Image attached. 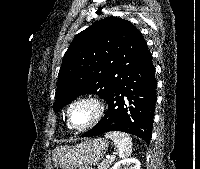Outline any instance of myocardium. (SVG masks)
I'll return each mask as SVG.
<instances>
[{
  "label": "myocardium",
  "instance_id": "myocardium-1",
  "mask_svg": "<svg viewBox=\"0 0 200 169\" xmlns=\"http://www.w3.org/2000/svg\"><path fill=\"white\" fill-rule=\"evenodd\" d=\"M79 104H89L94 108V115L91 121L81 127L75 126L71 119L72 109ZM105 112H106V103L101 97H99L96 94H85L77 97L68 105L66 111V117L70 128L79 132H83L95 127L102 120Z\"/></svg>",
  "mask_w": 200,
  "mask_h": 169
}]
</instances>
